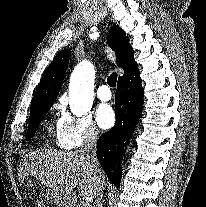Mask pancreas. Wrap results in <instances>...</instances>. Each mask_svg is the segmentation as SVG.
<instances>
[{
  "label": "pancreas",
  "instance_id": "obj_1",
  "mask_svg": "<svg viewBox=\"0 0 206 207\" xmlns=\"http://www.w3.org/2000/svg\"><path fill=\"white\" fill-rule=\"evenodd\" d=\"M73 207H87V206H84V204H74Z\"/></svg>",
  "mask_w": 206,
  "mask_h": 207
}]
</instances>
